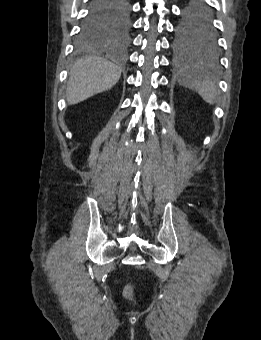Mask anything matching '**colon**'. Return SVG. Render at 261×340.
<instances>
[{
  "label": "colon",
  "instance_id": "5ec220e1",
  "mask_svg": "<svg viewBox=\"0 0 261 340\" xmlns=\"http://www.w3.org/2000/svg\"><path fill=\"white\" fill-rule=\"evenodd\" d=\"M124 296L126 299L129 301H132L134 298V293H133V286L131 284H127L124 288Z\"/></svg>",
  "mask_w": 261,
  "mask_h": 340
}]
</instances>
